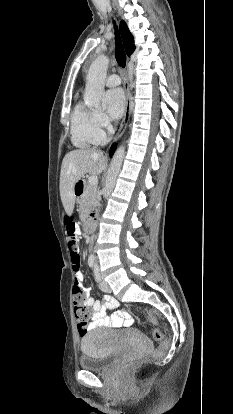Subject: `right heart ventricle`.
Masks as SVG:
<instances>
[{"label": "right heart ventricle", "instance_id": "right-heart-ventricle-1", "mask_svg": "<svg viewBox=\"0 0 233 414\" xmlns=\"http://www.w3.org/2000/svg\"><path fill=\"white\" fill-rule=\"evenodd\" d=\"M94 112L77 103L71 113V141L79 148H89L102 141L96 128Z\"/></svg>", "mask_w": 233, "mask_h": 414}]
</instances>
